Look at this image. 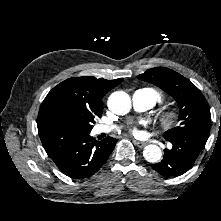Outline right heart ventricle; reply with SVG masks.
Segmentation results:
<instances>
[{
  "mask_svg": "<svg viewBox=\"0 0 221 221\" xmlns=\"http://www.w3.org/2000/svg\"><path fill=\"white\" fill-rule=\"evenodd\" d=\"M154 92L156 94L157 100H162V97H163L162 94L157 92V91H155V90H154Z\"/></svg>",
  "mask_w": 221,
  "mask_h": 221,
  "instance_id": "1",
  "label": "right heart ventricle"
}]
</instances>
